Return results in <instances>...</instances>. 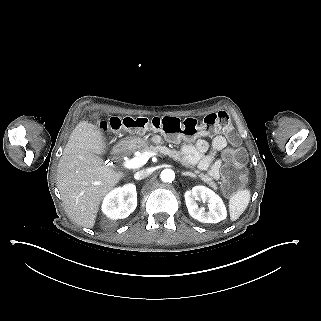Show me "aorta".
Returning <instances> with one entry per match:
<instances>
[{"instance_id":"obj_1","label":"aorta","mask_w":321,"mask_h":321,"mask_svg":"<svg viewBox=\"0 0 321 321\" xmlns=\"http://www.w3.org/2000/svg\"><path fill=\"white\" fill-rule=\"evenodd\" d=\"M175 179V173L171 169H165L161 172V180L164 182H172Z\"/></svg>"}]
</instances>
